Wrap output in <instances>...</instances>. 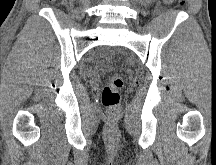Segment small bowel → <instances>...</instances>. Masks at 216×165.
Listing matches in <instances>:
<instances>
[{"label": "small bowel", "instance_id": "c3829d8e", "mask_svg": "<svg viewBox=\"0 0 216 165\" xmlns=\"http://www.w3.org/2000/svg\"><path fill=\"white\" fill-rule=\"evenodd\" d=\"M166 2H170V1H172V0H165Z\"/></svg>", "mask_w": 216, "mask_h": 165}]
</instances>
